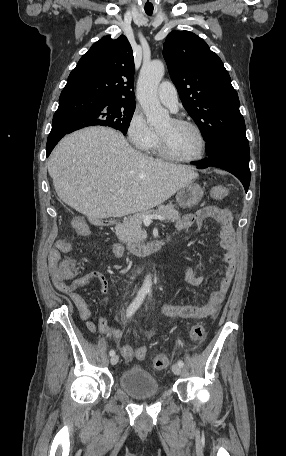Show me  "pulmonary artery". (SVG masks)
I'll list each match as a JSON object with an SVG mask.
<instances>
[{
	"instance_id": "1",
	"label": "pulmonary artery",
	"mask_w": 286,
	"mask_h": 456,
	"mask_svg": "<svg viewBox=\"0 0 286 456\" xmlns=\"http://www.w3.org/2000/svg\"><path fill=\"white\" fill-rule=\"evenodd\" d=\"M160 102L172 111L177 109L178 96L175 86L170 82H162L157 90Z\"/></svg>"
}]
</instances>
